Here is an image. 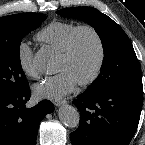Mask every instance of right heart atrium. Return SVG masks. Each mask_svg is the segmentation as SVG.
Listing matches in <instances>:
<instances>
[{
  "mask_svg": "<svg viewBox=\"0 0 145 145\" xmlns=\"http://www.w3.org/2000/svg\"><path fill=\"white\" fill-rule=\"evenodd\" d=\"M17 59L21 71L30 78H38L39 70L33 61V52L30 45L23 41L19 44L17 49Z\"/></svg>",
  "mask_w": 145,
  "mask_h": 145,
  "instance_id": "1",
  "label": "right heart atrium"
}]
</instances>
